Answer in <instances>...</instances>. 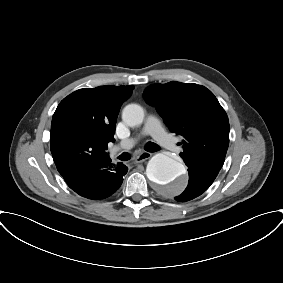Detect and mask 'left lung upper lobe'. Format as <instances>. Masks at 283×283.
I'll return each instance as SVG.
<instances>
[{
	"mask_svg": "<svg viewBox=\"0 0 283 283\" xmlns=\"http://www.w3.org/2000/svg\"><path fill=\"white\" fill-rule=\"evenodd\" d=\"M146 100L170 130L181 135L180 156L188 168L216 177L229 145V122L213 93L196 84H152Z\"/></svg>",
	"mask_w": 283,
	"mask_h": 283,
	"instance_id": "left-lung-upper-lobe-1",
	"label": "left lung upper lobe"
}]
</instances>
